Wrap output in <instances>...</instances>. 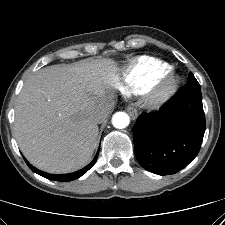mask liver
Instances as JSON below:
<instances>
[{
    "mask_svg": "<svg viewBox=\"0 0 225 225\" xmlns=\"http://www.w3.org/2000/svg\"><path fill=\"white\" fill-rule=\"evenodd\" d=\"M118 71L111 59H88L45 67L26 80L14 131L32 165L60 174L91 160L99 131L94 114L113 99Z\"/></svg>",
    "mask_w": 225,
    "mask_h": 225,
    "instance_id": "6515ba94",
    "label": "liver"
}]
</instances>
